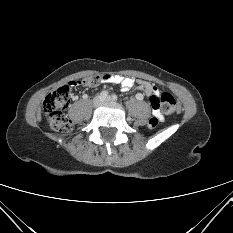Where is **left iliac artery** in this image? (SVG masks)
Segmentation results:
<instances>
[{
  "label": "left iliac artery",
  "mask_w": 233,
  "mask_h": 233,
  "mask_svg": "<svg viewBox=\"0 0 233 233\" xmlns=\"http://www.w3.org/2000/svg\"><path fill=\"white\" fill-rule=\"evenodd\" d=\"M112 99L114 100V101H117L118 100V97H117V95H112Z\"/></svg>",
  "instance_id": "1"
}]
</instances>
